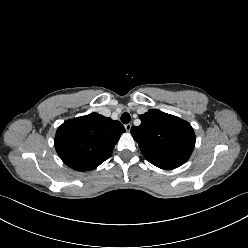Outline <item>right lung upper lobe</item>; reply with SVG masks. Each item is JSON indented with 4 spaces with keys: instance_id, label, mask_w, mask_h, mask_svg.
Returning a JSON list of instances; mask_svg holds the SVG:
<instances>
[{
    "instance_id": "obj_1",
    "label": "right lung upper lobe",
    "mask_w": 248,
    "mask_h": 248,
    "mask_svg": "<svg viewBox=\"0 0 248 248\" xmlns=\"http://www.w3.org/2000/svg\"><path fill=\"white\" fill-rule=\"evenodd\" d=\"M124 126L98 113L65 121L56 131L55 149L62 161L77 171L93 170L113 151Z\"/></svg>"
}]
</instances>
